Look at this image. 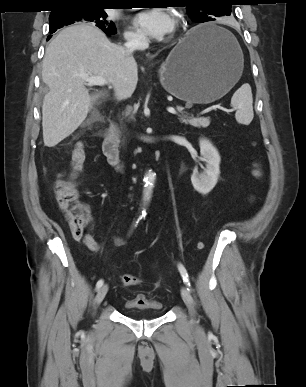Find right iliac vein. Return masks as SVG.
I'll list each match as a JSON object with an SVG mask.
<instances>
[{"label":"right iliac vein","instance_id":"obj_1","mask_svg":"<svg viewBox=\"0 0 306 387\" xmlns=\"http://www.w3.org/2000/svg\"><path fill=\"white\" fill-rule=\"evenodd\" d=\"M107 292H108L107 285H103L98 289L96 297H95V305H99L103 301Z\"/></svg>","mask_w":306,"mask_h":387}]
</instances>
